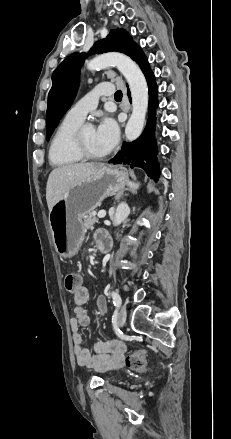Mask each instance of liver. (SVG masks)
Masks as SVG:
<instances>
[{"label":"liver","mask_w":231,"mask_h":439,"mask_svg":"<svg viewBox=\"0 0 231 439\" xmlns=\"http://www.w3.org/2000/svg\"><path fill=\"white\" fill-rule=\"evenodd\" d=\"M103 166L102 163H77L63 165L52 170L46 186V200L49 211L71 187L79 181L96 174Z\"/></svg>","instance_id":"6515ba94"}]
</instances>
